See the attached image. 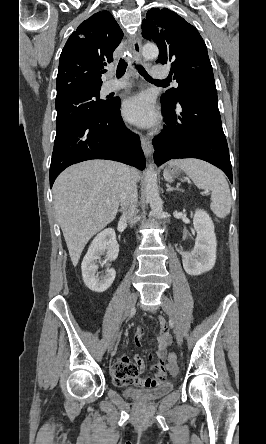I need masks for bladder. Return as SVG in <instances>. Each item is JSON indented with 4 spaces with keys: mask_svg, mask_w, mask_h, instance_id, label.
Wrapping results in <instances>:
<instances>
[{
    "mask_svg": "<svg viewBox=\"0 0 266 444\" xmlns=\"http://www.w3.org/2000/svg\"><path fill=\"white\" fill-rule=\"evenodd\" d=\"M173 390V384L172 383H165L157 387H151V388H136V387H129L124 389L123 394L130 399L136 400V401H154L158 400L165 395L169 394Z\"/></svg>",
    "mask_w": 266,
    "mask_h": 444,
    "instance_id": "1",
    "label": "bladder"
}]
</instances>
